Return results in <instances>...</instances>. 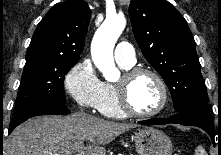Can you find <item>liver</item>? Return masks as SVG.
I'll return each mask as SVG.
<instances>
[{
  "label": "liver",
  "mask_w": 221,
  "mask_h": 155,
  "mask_svg": "<svg viewBox=\"0 0 221 155\" xmlns=\"http://www.w3.org/2000/svg\"><path fill=\"white\" fill-rule=\"evenodd\" d=\"M136 125L96 118L84 112L28 120L10 135L8 155H105V145ZM89 144L84 146V141Z\"/></svg>",
  "instance_id": "1"
}]
</instances>
